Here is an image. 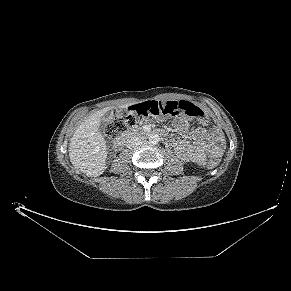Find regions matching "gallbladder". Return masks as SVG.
<instances>
[{"instance_id": "gallbladder-1", "label": "gallbladder", "mask_w": 291, "mask_h": 291, "mask_svg": "<svg viewBox=\"0 0 291 291\" xmlns=\"http://www.w3.org/2000/svg\"><path fill=\"white\" fill-rule=\"evenodd\" d=\"M113 115H114V113H113V111H108V112H106L104 115H103V117H102V121L103 122H109L111 119H112V117H113Z\"/></svg>"}]
</instances>
